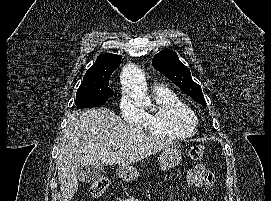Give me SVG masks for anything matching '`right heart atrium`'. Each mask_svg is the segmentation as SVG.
Returning a JSON list of instances; mask_svg holds the SVG:
<instances>
[{
	"instance_id": "1",
	"label": "right heart atrium",
	"mask_w": 271,
	"mask_h": 201,
	"mask_svg": "<svg viewBox=\"0 0 271 201\" xmlns=\"http://www.w3.org/2000/svg\"><path fill=\"white\" fill-rule=\"evenodd\" d=\"M119 108L122 112L123 117L128 122L134 125H144L145 114L140 108H138V106L130 96L124 95L121 97L119 101Z\"/></svg>"
}]
</instances>
